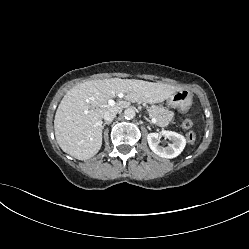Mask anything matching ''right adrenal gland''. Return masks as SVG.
Masks as SVG:
<instances>
[{
	"mask_svg": "<svg viewBox=\"0 0 249 249\" xmlns=\"http://www.w3.org/2000/svg\"><path fill=\"white\" fill-rule=\"evenodd\" d=\"M111 122H105L103 125H102V130L104 129V127L106 126V125H109Z\"/></svg>",
	"mask_w": 249,
	"mask_h": 249,
	"instance_id": "2a0ac1e0",
	"label": "right adrenal gland"
}]
</instances>
